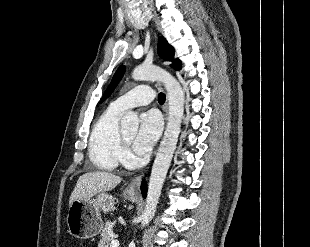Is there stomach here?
Wrapping results in <instances>:
<instances>
[{
    "label": "stomach",
    "mask_w": 310,
    "mask_h": 247,
    "mask_svg": "<svg viewBox=\"0 0 310 247\" xmlns=\"http://www.w3.org/2000/svg\"><path fill=\"white\" fill-rule=\"evenodd\" d=\"M123 196L132 202L137 200V195L129 189L124 190ZM114 205V197L105 192L99 193L95 199L73 201L66 218L68 232L79 239L96 236L103 228L101 211L110 212Z\"/></svg>",
    "instance_id": "obj_1"
}]
</instances>
